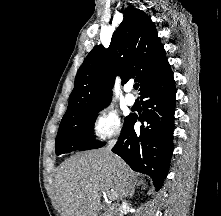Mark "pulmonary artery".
Segmentation results:
<instances>
[{"label": "pulmonary artery", "mask_w": 221, "mask_h": 216, "mask_svg": "<svg viewBox=\"0 0 221 216\" xmlns=\"http://www.w3.org/2000/svg\"><path fill=\"white\" fill-rule=\"evenodd\" d=\"M131 91H132V87H131V86L127 87L125 100H126V103H127L129 106L134 105L135 102H136V98H135V96L132 94Z\"/></svg>", "instance_id": "1"}]
</instances>
